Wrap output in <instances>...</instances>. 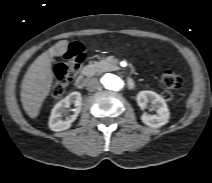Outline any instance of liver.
Segmentation results:
<instances>
[{"instance_id": "obj_1", "label": "liver", "mask_w": 212, "mask_h": 183, "mask_svg": "<svg viewBox=\"0 0 212 183\" xmlns=\"http://www.w3.org/2000/svg\"><path fill=\"white\" fill-rule=\"evenodd\" d=\"M67 50L68 41H60L42 53L28 68L21 85V102L30 118L39 115L43 101L50 93L54 78L52 57L62 56Z\"/></svg>"}]
</instances>
